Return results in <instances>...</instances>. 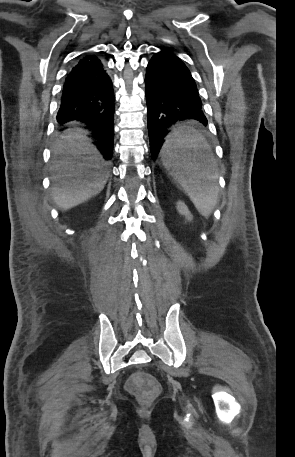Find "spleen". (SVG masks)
I'll return each mask as SVG.
<instances>
[{
    "mask_svg": "<svg viewBox=\"0 0 295 457\" xmlns=\"http://www.w3.org/2000/svg\"><path fill=\"white\" fill-rule=\"evenodd\" d=\"M205 138L190 126H181L168 136L161 150L164 166L184 188L198 212L209 217L218 201L216 175L205 163H195L190 155L206 150Z\"/></svg>",
    "mask_w": 295,
    "mask_h": 457,
    "instance_id": "1",
    "label": "spleen"
}]
</instances>
